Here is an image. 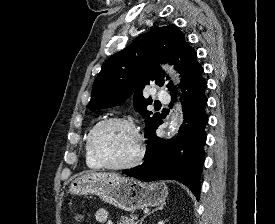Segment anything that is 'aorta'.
Listing matches in <instances>:
<instances>
[{
    "instance_id": "1",
    "label": "aorta",
    "mask_w": 275,
    "mask_h": 224,
    "mask_svg": "<svg viewBox=\"0 0 275 224\" xmlns=\"http://www.w3.org/2000/svg\"><path fill=\"white\" fill-rule=\"evenodd\" d=\"M163 69L168 71L170 74H175V72L172 70V68L168 67V66H163ZM178 112L175 111V113L173 114L171 121H170V125L168 127V136L172 137L173 135H175L178 132L179 129V124H178Z\"/></svg>"
}]
</instances>
